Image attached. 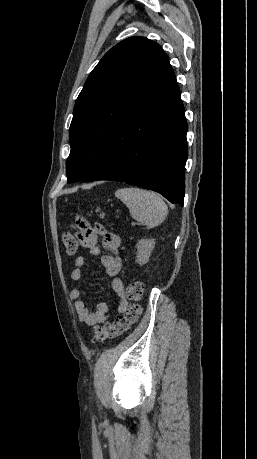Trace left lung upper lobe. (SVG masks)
Here are the masks:
<instances>
[{
  "label": "left lung upper lobe",
  "mask_w": 257,
  "mask_h": 459,
  "mask_svg": "<svg viewBox=\"0 0 257 459\" xmlns=\"http://www.w3.org/2000/svg\"><path fill=\"white\" fill-rule=\"evenodd\" d=\"M168 59L159 44L139 36L111 48L88 76L69 129L68 183L93 181L110 156L113 134Z\"/></svg>",
  "instance_id": "1"
}]
</instances>
